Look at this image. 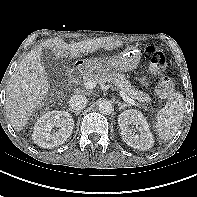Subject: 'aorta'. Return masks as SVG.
<instances>
[{
    "mask_svg": "<svg viewBox=\"0 0 197 197\" xmlns=\"http://www.w3.org/2000/svg\"><path fill=\"white\" fill-rule=\"evenodd\" d=\"M98 109H99L100 113H102L104 115H109L113 111V105L110 101L103 100L99 103Z\"/></svg>",
    "mask_w": 197,
    "mask_h": 197,
    "instance_id": "aorta-1",
    "label": "aorta"
}]
</instances>
